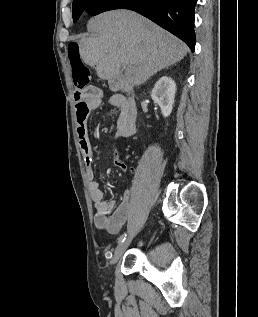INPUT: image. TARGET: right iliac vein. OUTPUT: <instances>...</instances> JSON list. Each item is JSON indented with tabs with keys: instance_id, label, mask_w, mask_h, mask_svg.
I'll use <instances>...</instances> for the list:
<instances>
[{
	"instance_id": "1",
	"label": "right iliac vein",
	"mask_w": 258,
	"mask_h": 317,
	"mask_svg": "<svg viewBox=\"0 0 258 317\" xmlns=\"http://www.w3.org/2000/svg\"><path fill=\"white\" fill-rule=\"evenodd\" d=\"M134 234H135L134 232L132 234H128L127 240L121 241L120 244L115 249L113 259H111V264L113 266L116 264V262L120 261V258L124 254L126 247L130 245V242H132Z\"/></svg>"
}]
</instances>
